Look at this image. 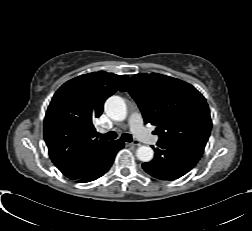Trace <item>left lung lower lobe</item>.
Instances as JSON below:
<instances>
[{
    "mask_svg": "<svg viewBox=\"0 0 252 231\" xmlns=\"http://www.w3.org/2000/svg\"><path fill=\"white\" fill-rule=\"evenodd\" d=\"M157 146L154 159L143 163L142 167L161 180H174L188 173L200 160L205 148L193 141H158Z\"/></svg>",
    "mask_w": 252,
    "mask_h": 231,
    "instance_id": "obj_1",
    "label": "left lung lower lobe"
}]
</instances>
